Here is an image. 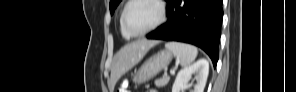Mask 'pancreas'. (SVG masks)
I'll return each mask as SVG.
<instances>
[{"label": "pancreas", "instance_id": "pancreas-1", "mask_svg": "<svg viewBox=\"0 0 296 92\" xmlns=\"http://www.w3.org/2000/svg\"><path fill=\"white\" fill-rule=\"evenodd\" d=\"M169 80H170L169 76H164V77H162L160 79H156L155 80V85L157 87H164V86H166L168 84Z\"/></svg>", "mask_w": 296, "mask_h": 92}]
</instances>
